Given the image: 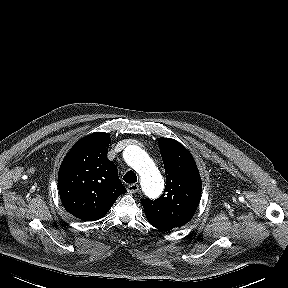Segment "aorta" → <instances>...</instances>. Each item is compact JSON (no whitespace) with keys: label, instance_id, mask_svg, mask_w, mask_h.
<instances>
[{"label":"aorta","instance_id":"aorta-1","mask_svg":"<svg viewBox=\"0 0 288 288\" xmlns=\"http://www.w3.org/2000/svg\"><path fill=\"white\" fill-rule=\"evenodd\" d=\"M124 159L140 175L146 195L158 197L164 189V180L147 153L139 146L129 145L124 150Z\"/></svg>","mask_w":288,"mask_h":288}]
</instances>
